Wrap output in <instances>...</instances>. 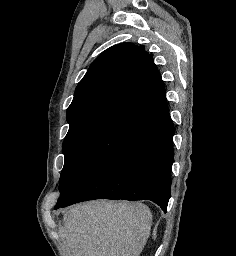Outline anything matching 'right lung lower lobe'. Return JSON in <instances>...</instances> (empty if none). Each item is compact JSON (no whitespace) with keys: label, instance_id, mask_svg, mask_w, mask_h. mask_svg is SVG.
Wrapping results in <instances>:
<instances>
[{"label":"right lung lower lobe","instance_id":"obj_1","mask_svg":"<svg viewBox=\"0 0 236 256\" xmlns=\"http://www.w3.org/2000/svg\"><path fill=\"white\" fill-rule=\"evenodd\" d=\"M175 128L168 115L150 123L106 158L55 209L92 199L151 200L166 212Z\"/></svg>","mask_w":236,"mask_h":256}]
</instances>
